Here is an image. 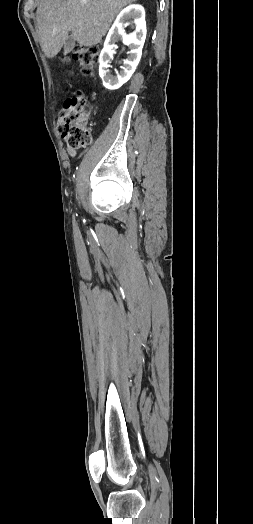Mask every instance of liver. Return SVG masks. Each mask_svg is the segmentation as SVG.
<instances>
[{
  "label": "liver",
  "instance_id": "liver-1",
  "mask_svg": "<svg viewBox=\"0 0 253 524\" xmlns=\"http://www.w3.org/2000/svg\"><path fill=\"white\" fill-rule=\"evenodd\" d=\"M136 1L39 0L36 20L44 54L55 57L69 32L80 46L98 44L122 8Z\"/></svg>",
  "mask_w": 253,
  "mask_h": 524
}]
</instances>
